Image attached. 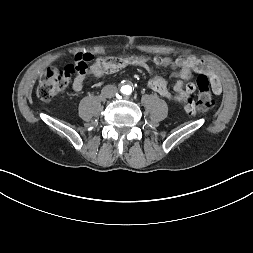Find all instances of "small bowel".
I'll list each match as a JSON object with an SVG mask.
<instances>
[{
	"instance_id": "c3829d8e",
	"label": "small bowel",
	"mask_w": 253,
	"mask_h": 253,
	"mask_svg": "<svg viewBox=\"0 0 253 253\" xmlns=\"http://www.w3.org/2000/svg\"><path fill=\"white\" fill-rule=\"evenodd\" d=\"M87 56L91 55L88 53L77 54L75 59L78 60ZM152 61L156 66H170L178 69L174 74V93L168 88L166 80L160 76L151 77L147 81V87L163 98L183 102L184 114L187 117H195L198 114L197 96L194 94L197 87L192 82L185 84V80L190 78L192 72L209 75L214 92L216 94L221 92L219 81L210 74L205 64L195 57H180L172 60L168 57L157 56ZM129 66L141 67L147 72L152 73L150 59L144 56L97 57L93 60L89 68V73L94 77H102L106 74L117 73ZM84 81L85 74L77 75L73 81V90L80 92L83 89Z\"/></svg>"
}]
</instances>
